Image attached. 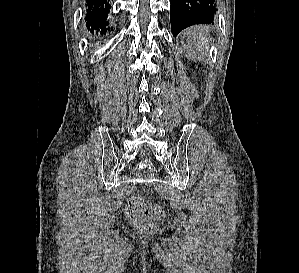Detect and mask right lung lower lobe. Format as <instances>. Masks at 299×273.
Listing matches in <instances>:
<instances>
[{
	"label": "right lung lower lobe",
	"mask_w": 299,
	"mask_h": 273,
	"mask_svg": "<svg viewBox=\"0 0 299 273\" xmlns=\"http://www.w3.org/2000/svg\"><path fill=\"white\" fill-rule=\"evenodd\" d=\"M86 23L87 29L91 31V33L101 34L109 31V23L107 21L110 6V0H86Z\"/></svg>",
	"instance_id": "98d812e1"
}]
</instances>
